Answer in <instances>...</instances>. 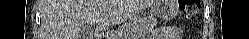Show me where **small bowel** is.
Masks as SVG:
<instances>
[{
	"label": "small bowel",
	"instance_id": "obj_1",
	"mask_svg": "<svg viewBox=\"0 0 249 39\" xmlns=\"http://www.w3.org/2000/svg\"><path fill=\"white\" fill-rule=\"evenodd\" d=\"M180 31L175 27H160L152 35V39H168L178 34Z\"/></svg>",
	"mask_w": 249,
	"mask_h": 39
}]
</instances>
